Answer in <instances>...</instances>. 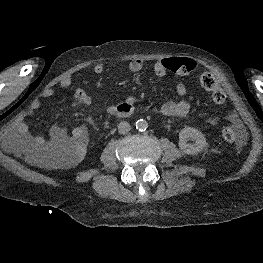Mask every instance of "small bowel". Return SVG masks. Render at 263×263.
Segmentation results:
<instances>
[{
	"label": "small bowel",
	"mask_w": 263,
	"mask_h": 263,
	"mask_svg": "<svg viewBox=\"0 0 263 263\" xmlns=\"http://www.w3.org/2000/svg\"><path fill=\"white\" fill-rule=\"evenodd\" d=\"M168 59H157L152 63L154 72L157 76L167 79H172L176 77L174 73L168 66ZM146 65V62L142 58H135L132 60L130 64V68L133 71H140ZM93 72L97 75L102 74L104 72V66L102 64H96L93 67ZM114 76L109 78V81H112ZM72 83V76L67 74L63 76L57 83V85L61 88H67ZM56 91V85L48 86L43 93L40 95V100H43L47 97L54 95ZM74 96L79 99L82 103L86 105H91L92 100L86 94V92L79 86L73 88ZM196 111V104L193 101H188L185 97V88L183 86H179L177 88L175 99L172 102L166 103L161 106L160 112L164 115H172V116H186L191 115ZM28 122L29 120H24L19 125L20 132V140L26 145L32 152L38 153L44 150H53L56 149L63 144L66 143L68 137L74 131H82L83 129H70V128H62L58 126L52 127L48 136H40L33 135L28 131ZM237 126H240L239 122H236Z\"/></svg>",
	"instance_id": "1"
}]
</instances>
